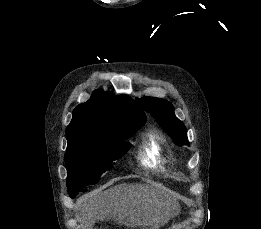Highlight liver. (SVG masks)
Returning <instances> with one entry per match:
<instances>
[{
  "mask_svg": "<svg viewBox=\"0 0 261 229\" xmlns=\"http://www.w3.org/2000/svg\"><path fill=\"white\" fill-rule=\"evenodd\" d=\"M136 197H141V195H139V191H137ZM78 203H80V207H82L81 211L86 209V211H90V213H92L94 209H100V207H103V203H101V197H99V195L98 197H92L91 201H89V197H82ZM134 205H137V199ZM101 213H103V215H109L108 205H106L104 211H101ZM152 221H154V219H152Z\"/></svg>",
  "mask_w": 261,
  "mask_h": 229,
  "instance_id": "1",
  "label": "liver"
}]
</instances>
